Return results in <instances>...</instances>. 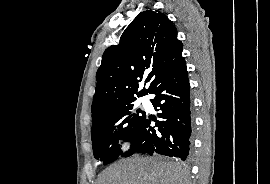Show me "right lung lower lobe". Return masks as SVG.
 <instances>
[{
	"label": "right lung lower lobe",
	"instance_id": "obj_1",
	"mask_svg": "<svg viewBox=\"0 0 270 184\" xmlns=\"http://www.w3.org/2000/svg\"><path fill=\"white\" fill-rule=\"evenodd\" d=\"M155 94L151 100L163 121L150 126L151 118L146 117L135 137L130 141L131 148L120 156L134 153H158L186 160L191 150V110L190 85L186 63L183 59L172 71L162 78L149 92Z\"/></svg>",
	"mask_w": 270,
	"mask_h": 184
}]
</instances>
